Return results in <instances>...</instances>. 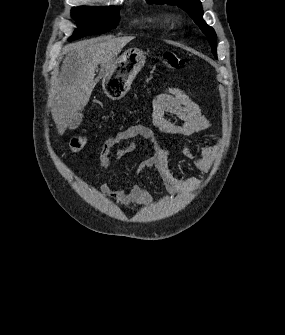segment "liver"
Segmentation results:
<instances>
[{
    "mask_svg": "<svg viewBox=\"0 0 285 335\" xmlns=\"http://www.w3.org/2000/svg\"><path fill=\"white\" fill-rule=\"evenodd\" d=\"M131 40H134L133 36L112 38V40L93 38L63 48V54L67 56L62 64L51 100V112L60 136L64 134L77 112L87 106L99 80V78L94 80L99 64L102 74H105Z\"/></svg>",
    "mask_w": 285,
    "mask_h": 335,
    "instance_id": "6515ba94",
    "label": "liver"
}]
</instances>
